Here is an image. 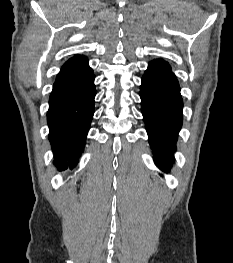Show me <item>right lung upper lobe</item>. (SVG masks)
I'll list each match as a JSON object with an SVG mask.
<instances>
[{"label": "right lung upper lobe", "mask_w": 233, "mask_h": 263, "mask_svg": "<svg viewBox=\"0 0 233 263\" xmlns=\"http://www.w3.org/2000/svg\"><path fill=\"white\" fill-rule=\"evenodd\" d=\"M88 65V60L85 56L77 55L73 58H70L62 66L61 70H77L82 69Z\"/></svg>", "instance_id": "1"}]
</instances>
